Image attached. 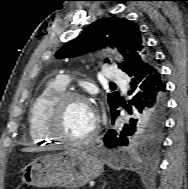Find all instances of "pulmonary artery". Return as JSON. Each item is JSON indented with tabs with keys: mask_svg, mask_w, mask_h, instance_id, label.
<instances>
[{
	"mask_svg": "<svg viewBox=\"0 0 188 189\" xmlns=\"http://www.w3.org/2000/svg\"><path fill=\"white\" fill-rule=\"evenodd\" d=\"M105 76L107 77L108 80L113 81V82H121L123 83L126 79L125 74L118 70L114 66H109L105 72ZM59 81L63 83L64 85L68 84L69 79L66 76H60ZM124 89L126 88V85L123 83Z\"/></svg>",
	"mask_w": 188,
	"mask_h": 189,
	"instance_id": "e3ab8cb5",
	"label": "pulmonary artery"
}]
</instances>
